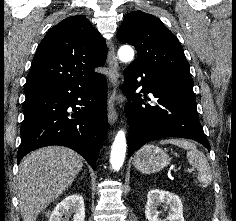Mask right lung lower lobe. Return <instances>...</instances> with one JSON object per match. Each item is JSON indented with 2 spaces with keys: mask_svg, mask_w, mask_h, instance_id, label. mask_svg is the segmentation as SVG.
<instances>
[{
  "mask_svg": "<svg viewBox=\"0 0 236 221\" xmlns=\"http://www.w3.org/2000/svg\"><path fill=\"white\" fill-rule=\"evenodd\" d=\"M25 97L17 162L35 149L61 145L78 152L95 170L107 132L104 75L97 73L29 90Z\"/></svg>",
  "mask_w": 236,
  "mask_h": 221,
  "instance_id": "1",
  "label": "right lung lower lobe"
}]
</instances>
